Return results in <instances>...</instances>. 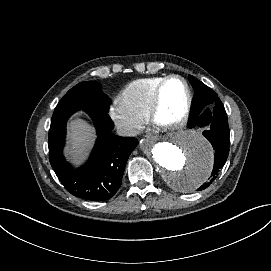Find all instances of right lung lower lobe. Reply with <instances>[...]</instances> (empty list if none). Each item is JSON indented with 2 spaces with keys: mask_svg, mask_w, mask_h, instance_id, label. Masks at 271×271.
<instances>
[{
  "mask_svg": "<svg viewBox=\"0 0 271 271\" xmlns=\"http://www.w3.org/2000/svg\"><path fill=\"white\" fill-rule=\"evenodd\" d=\"M83 110L93 119L97 141L89 161L73 170L62 154L66 122L75 111ZM108 111L93 106H72L55 111L48 135L50 164L66 190L76 197L90 201L112 198L122 183L128 157L138 144L136 138H123L111 133L114 127Z\"/></svg>",
  "mask_w": 271,
  "mask_h": 271,
  "instance_id": "98d812e1",
  "label": "right lung lower lobe"
}]
</instances>
